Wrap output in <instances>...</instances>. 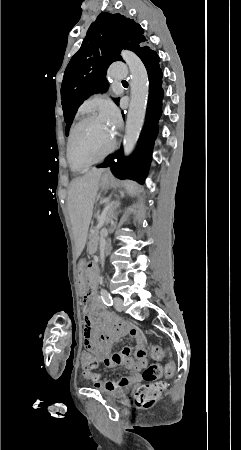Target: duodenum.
<instances>
[{"instance_id":"obj_1","label":"duodenum","mask_w":241,"mask_h":450,"mask_svg":"<svg viewBox=\"0 0 241 450\" xmlns=\"http://www.w3.org/2000/svg\"><path fill=\"white\" fill-rule=\"evenodd\" d=\"M88 269H89L88 289L91 293H94L96 291L98 281L97 266L95 263H90Z\"/></svg>"}]
</instances>
